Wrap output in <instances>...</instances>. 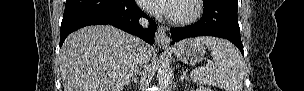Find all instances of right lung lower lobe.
<instances>
[{"instance_id":"1","label":"right lung lower lobe","mask_w":304,"mask_h":91,"mask_svg":"<svg viewBox=\"0 0 304 91\" xmlns=\"http://www.w3.org/2000/svg\"><path fill=\"white\" fill-rule=\"evenodd\" d=\"M148 19V29H143L138 20ZM113 25L153 44L157 29L155 21L136 5L134 0H66L61 23L60 46L73 31L88 25Z\"/></svg>"}]
</instances>
